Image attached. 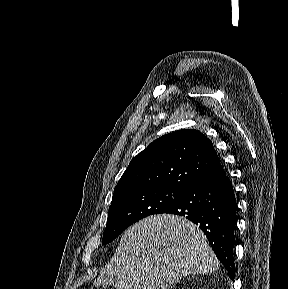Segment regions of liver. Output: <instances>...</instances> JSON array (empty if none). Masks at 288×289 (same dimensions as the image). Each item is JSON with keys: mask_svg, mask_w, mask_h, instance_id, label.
I'll return each instance as SVG.
<instances>
[{"mask_svg": "<svg viewBox=\"0 0 288 289\" xmlns=\"http://www.w3.org/2000/svg\"><path fill=\"white\" fill-rule=\"evenodd\" d=\"M218 267L199 226L181 216L158 214L124 232L93 284L108 281L116 289H169L183 276L208 274Z\"/></svg>", "mask_w": 288, "mask_h": 289, "instance_id": "1", "label": "liver"}]
</instances>
